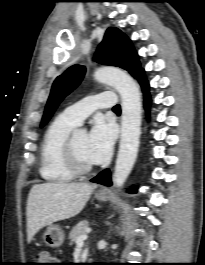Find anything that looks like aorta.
I'll list each match as a JSON object with an SVG mask.
<instances>
[{"instance_id": "762f6f07", "label": "aorta", "mask_w": 205, "mask_h": 265, "mask_svg": "<svg viewBox=\"0 0 205 265\" xmlns=\"http://www.w3.org/2000/svg\"><path fill=\"white\" fill-rule=\"evenodd\" d=\"M94 78L113 86L122 100L121 139L115 164L113 183L120 189L129 176L136 161L141 126L142 103L138 84L120 69L99 68Z\"/></svg>"}]
</instances>
